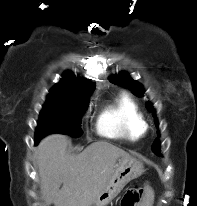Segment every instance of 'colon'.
<instances>
[{"mask_svg":"<svg viewBox=\"0 0 197 206\" xmlns=\"http://www.w3.org/2000/svg\"><path fill=\"white\" fill-rule=\"evenodd\" d=\"M150 189H142L134 187L130 189L122 200V206H133L136 202H139L141 197L149 192Z\"/></svg>","mask_w":197,"mask_h":206,"instance_id":"colon-1","label":"colon"}]
</instances>
